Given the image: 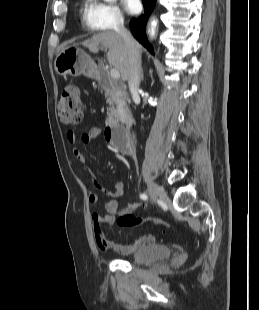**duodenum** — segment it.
I'll return each mask as SVG.
<instances>
[{
    "mask_svg": "<svg viewBox=\"0 0 259 310\" xmlns=\"http://www.w3.org/2000/svg\"><path fill=\"white\" fill-rule=\"evenodd\" d=\"M95 76L99 80L101 86L110 94L121 98L126 93L116 85L107 73L104 72L103 66L96 63L94 66ZM131 118L124 116L123 124H109L105 128V136L107 140L117 148L121 153L130 154L132 152V146L129 139Z\"/></svg>",
    "mask_w": 259,
    "mask_h": 310,
    "instance_id": "410a0bca",
    "label": "duodenum"
}]
</instances>
